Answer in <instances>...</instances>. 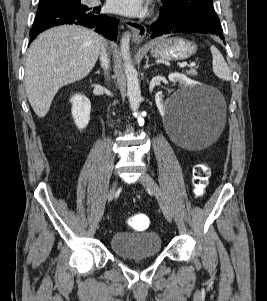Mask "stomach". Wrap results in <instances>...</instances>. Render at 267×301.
Wrapping results in <instances>:
<instances>
[{
  "label": "stomach",
  "instance_id": "obj_1",
  "mask_svg": "<svg viewBox=\"0 0 267 301\" xmlns=\"http://www.w3.org/2000/svg\"><path fill=\"white\" fill-rule=\"evenodd\" d=\"M151 54L155 58L170 60H185L197 51V46L186 39H164L150 45Z\"/></svg>",
  "mask_w": 267,
  "mask_h": 301
}]
</instances>
